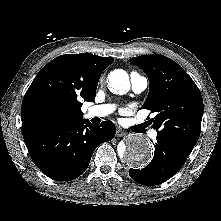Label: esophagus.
Listing matches in <instances>:
<instances>
[{
    "label": "esophagus",
    "mask_w": 221,
    "mask_h": 221,
    "mask_svg": "<svg viewBox=\"0 0 221 221\" xmlns=\"http://www.w3.org/2000/svg\"><path fill=\"white\" fill-rule=\"evenodd\" d=\"M125 135H126V132L124 130H122L121 128H117V130H116L117 137H123Z\"/></svg>",
    "instance_id": "1"
}]
</instances>
